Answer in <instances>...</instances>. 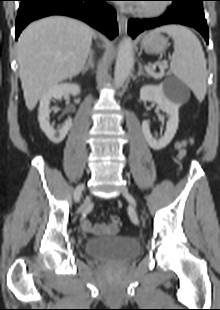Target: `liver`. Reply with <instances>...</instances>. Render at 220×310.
Wrapping results in <instances>:
<instances>
[{"mask_svg": "<svg viewBox=\"0 0 220 310\" xmlns=\"http://www.w3.org/2000/svg\"><path fill=\"white\" fill-rule=\"evenodd\" d=\"M94 31L85 23L52 16L31 23L17 43L19 75L31 111L52 86L80 73Z\"/></svg>", "mask_w": 220, "mask_h": 310, "instance_id": "liver-1", "label": "liver"}]
</instances>
